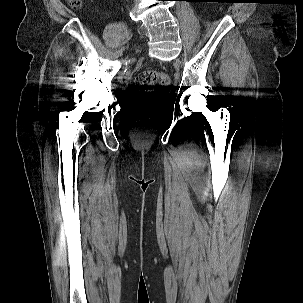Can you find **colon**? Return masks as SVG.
Returning a JSON list of instances; mask_svg holds the SVG:
<instances>
[{
  "label": "colon",
  "mask_w": 303,
  "mask_h": 303,
  "mask_svg": "<svg viewBox=\"0 0 303 303\" xmlns=\"http://www.w3.org/2000/svg\"><path fill=\"white\" fill-rule=\"evenodd\" d=\"M71 7H80L82 0H67ZM136 86L139 91L134 96V101L143 120L158 109L166 101V93L158 91L169 84L168 76L161 71L145 70L136 77Z\"/></svg>",
  "instance_id": "5ec220e1"
}]
</instances>
